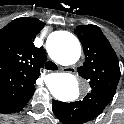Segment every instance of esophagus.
Instances as JSON below:
<instances>
[{"instance_id": "obj_1", "label": "esophagus", "mask_w": 124, "mask_h": 124, "mask_svg": "<svg viewBox=\"0 0 124 124\" xmlns=\"http://www.w3.org/2000/svg\"><path fill=\"white\" fill-rule=\"evenodd\" d=\"M75 67L71 66V67H61V71L62 72H68V73H73L75 72Z\"/></svg>"}]
</instances>
